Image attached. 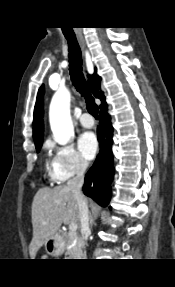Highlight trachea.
Returning a JSON list of instances; mask_svg holds the SVG:
<instances>
[{
	"label": "trachea",
	"mask_w": 175,
	"mask_h": 287,
	"mask_svg": "<svg viewBox=\"0 0 175 287\" xmlns=\"http://www.w3.org/2000/svg\"><path fill=\"white\" fill-rule=\"evenodd\" d=\"M68 42L69 50V70L73 85L76 90L86 99V108L88 112L98 119V106L86 85L84 75L82 73L81 49L76 37L65 36Z\"/></svg>",
	"instance_id": "3493384b"
}]
</instances>
